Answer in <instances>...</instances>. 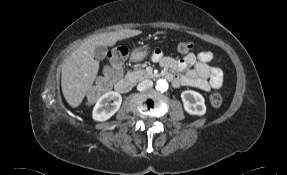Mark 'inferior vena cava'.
<instances>
[{
  "instance_id": "1",
  "label": "inferior vena cava",
  "mask_w": 287,
  "mask_h": 175,
  "mask_svg": "<svg viewBox=\"0 0 287 175\" xmlns=\"http://www.w3.org/2000/svg\"><path fill=\"white\" fill-rule=\"evenodd\" d=\"M152 86H153L152 80L146 79V80L141 81L138 84L137 89L139 91H144V90H147V89L151 88Z\"/></svg>"
}]
</instances>
